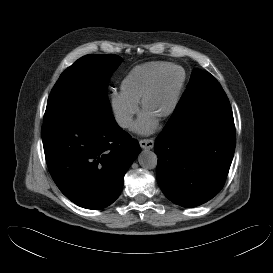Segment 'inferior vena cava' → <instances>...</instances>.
<instances>
[{"mask_svg":"<svg viewBox=\"0 0 273 273\" xmlns=\"http://www.w3.org/2000/svg\"><path fill=\"white\" fill-rule=\"evenodd\" d=\"M116 122L123 129H127V128H130L132 126L131 118L129 116H126V115L116 116Z\"/></svg>","mask_w":273,"mask_h":273,"instance_id":"1","label":"inferior vena cava"}]
</instances>
